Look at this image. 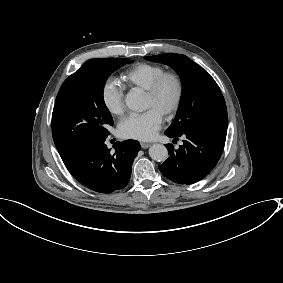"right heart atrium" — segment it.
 I'll list each match as a JSON object with an SVG mask.
<instances>
[{"instance_id": "1", "label": "right heart atrium", "mask_w": 283, "mask_h": 283, "mask_svg": "<svg viewBox=\"0 0 283 283\" xmlns=\"http://www.w3.org/2000/svg\"><path fill=\"white\" fill-rule=\"evenodd\" d=\"M125 89L116 77L107 78L101 86V99L107 111L120 116L125 111Z\"/></svg>"}]
</instances>
